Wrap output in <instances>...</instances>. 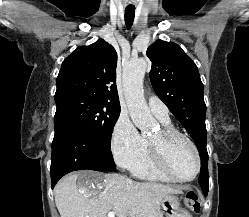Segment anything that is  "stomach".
<instances>
[{
	"instance_id": "obj_1",
	"label": "stomach",
	"mask_w": 249,
	"mask_h": 217,
	"mask_svg": "<svg viewBox=\"0 0 249 217\" xmlns=\"http://www.w3.org/2000/svg\"><path fill=\"white\" fill-rule=\"evenodd\" d=\"M179 200L173 195H166L161 201L162 210L168 217H174L179 212Z\"/></svg>"
}]
</instances>
